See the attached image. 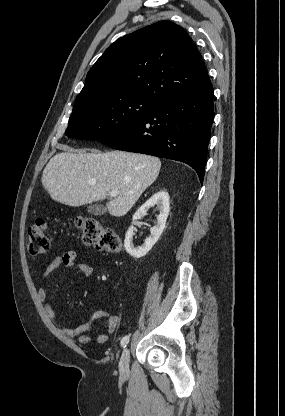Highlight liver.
I'll return each mask as SVG.
<instances>
[{
  "mask_svg": "<svg viewBox=\"0 0 285 416\" xmlns=\"http://www.w3.org/2000/svg\"><path fill=\"white\" fill-rule=\"evenodd\" d=\"M63 150L49 160L44 168L41 184L55 202L65 206H84L105 200L108 192L117 190L118 196L107 202L111 216H125L141 194L159 176L161 162L154 156L130 152L73 150L58 144Z\"/></svg>",
  "mask_w": 285,
  "mask_h": 416,
  "instance_id": "liver-1",
  "label": "liver"
}]
</instances>
